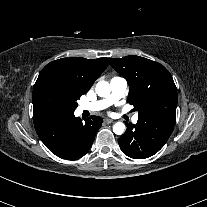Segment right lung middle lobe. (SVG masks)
Wrapping results in <instances>:
<instances>
[{"mask_svg":"<svg viewBox=\"0 0 207 207\" xmlns=\"http://www.w3.org/2000/svg\"><path fill=\"white\" fill-rule=\"evenodd\" d=\"M79 96L72 94L55 80H44L34 91V109L41 115L72 114Z\"/></svg>","mask_w":207,"mask_h":207,"instance_id":"dd1d6c3e","label":"right lung middle lobe"}]
</instances>
